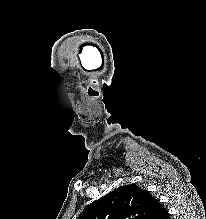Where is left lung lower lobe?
Listing matches in <instances>:
<instances>
[{"mask_svg": "<svg viewBox=\"0 0 206 219\" xmlns=\"http://www.w3.org/2000/svg\"><path fill=\"white\" fill-rule=\"evenodd\" d=\"M149 219H170V215L168 211L156 199H154Z\"/></svg>", "mask_w": 206, "mask_h": 219, "instance_id": "left-lung-lower-lobe-1", "label": "left lung lower lobe"}]
</instances>
